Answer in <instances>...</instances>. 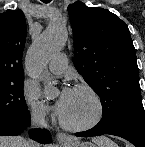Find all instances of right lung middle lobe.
<instances>
[{
	"label": "right lung middle lobe",
	"mask_w": 145,
	"mask_h": 147,
	"mask_svg": "<svg viewBox=\"0 0 145 147\" xmlns=\"http://www.w3.org/2000/svg\"><path fill=\"white\" fill-rule=\"evenodd\" d=\"M23 83L24 76L0 82V124L18 121L28 114Z\"/></svg>",
	"instance_id": "right-lung-middle-lobe-1"
}]
</instances>
